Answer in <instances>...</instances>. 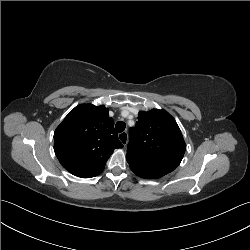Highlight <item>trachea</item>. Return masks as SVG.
<instances>
[{
  "label": "trachea",
  "mask_w": 250,
  "mask_h": 250,
  "mask_svg": "<svg viewBox=\"0 0 250 250\" xmlns=\"http://www.w3.org/2000/svg\"><path fill=\"white\" fill-rule=\"evenodd\" d=\"M115 128L118 133H121L126 128V124L122 121H118L115 125Z\"/></svg>",
  "instance_id": "trachea-1"
}]
</instances>
